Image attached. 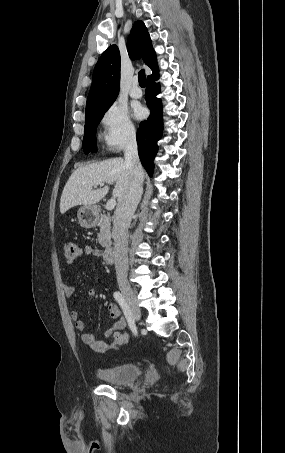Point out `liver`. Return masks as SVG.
<instances>
[{
	"mask_svg": "<svg viewBox=\"0 0 285 453\" xmlns=\"http://www.w3.org/2000/svg\"><path fill=\"white\" fill-rule=\"evenodd\" d=\"M131 178V170L123 158H111L80 166L71 174L63 189L60 212L64 214L74 206H93L98 203L109 191V187L104 186L105 183L116 182L112 194L119 202L128 192ZM99 185L102 188H97Z\"/></svg>",
	"mask_w": 285,
	"mask_h": 453,
	"instance_id": "1",
	"label": "liver"
}]
</instances>
